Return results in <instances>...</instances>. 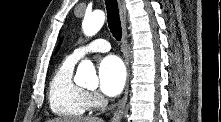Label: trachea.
Returning <instances> with one entry per match:
<instances>
[{"label": "trachea", "mask_w": 221, "mask_h": 122, "mask_svg": "<svg viewBox=\"0 0 221 122\" xmlns=\"http://www.w3.org/2000/svg\"><path fill=\"white\" fill-rule=\"evenodd\" d=\"M107 22L111 33L117 41L122 38V28L117 0H105Z\"/></svg>", "instance_id": "1"}]
</instances>
